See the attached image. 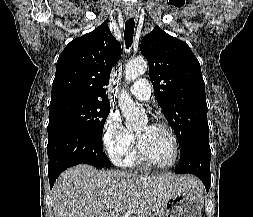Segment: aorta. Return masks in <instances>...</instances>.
<instances>
[{
  "mask_svg": "<svg viewBox=\"0 0 253 217\" xmlns=\"http://www.w3.org/2000/svg\"><path fill=\"white\" fill-rule=\"evenodd\" d=\"M147 67L143 58L129 61L125 67V79L131 81L140 77L147 71ZM119 107L127 126L141 125L146 119L144 109L137 107L126 91H122L119 96Z\"/></svg>",
  "mask_w": 253,
  "mask_h": 217,
  "instance_id": "762f6f07",
  "label": "aorta"
}]
</instances>
